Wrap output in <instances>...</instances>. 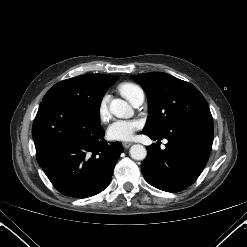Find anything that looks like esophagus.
I'll list each match as a JSON object with an SVG mask.
<instances>
[{
    "label": "esophagus",
    "instance_id": "34e87169",
    "mask_svg": "<svg viewBox=\"0 0 247 247\" xmlns=\"http://www.w3.org/2000/svg\"><path fill=\"white\" fill-rule=\"evenodd\" d=\"M122 144H123V147L126 148V149L129 148L132 145L131 142H123Z\"/></svg>",
    "mask_w": 247,
    "mask_h": 247
}]
</instances>
